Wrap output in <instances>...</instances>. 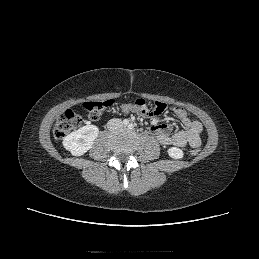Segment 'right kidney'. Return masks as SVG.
Returning a JSON list of instances; mask_svg holds the SVG:
<instances>
[{
    "label": "right kidney",
    "mask_w": 259,
    "mask_h": 259,
    "mask_svg": "<svg viewBox=\"0 0 259 259\" xmlns=\"http://www.w3.org/2000/svg\"><path fill=\"white\" fill-rule=\"evenodd\" d=\"M99 134V129L95 125H86L70 133L63 139V146L74 156L85 154L93 145Z\"/></svg>",
    "instance_id": "1"
}]
</instances>
